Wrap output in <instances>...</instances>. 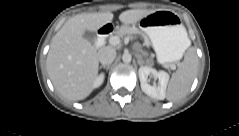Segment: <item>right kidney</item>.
Listing matches in <instances>:
<instances>
[{"mask_svg": "<svg viewBox=\"0 0 239 136\" xmlns=\"http://www.w3.org/2000/svg\"><path fill=\"white\" fill-rule=\"evenodd\" d=\"M105 75L104 74H100L94 81V88H98L99 86L102 85L103 81H104Z\"/></svg>", "mask_w": 239, "mask_h": 136, "instance_id": "obj_1", "label": "right kidney"}]
</instances>
